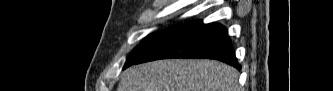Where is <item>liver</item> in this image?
Wrapping results in <instances>:
<instances>
[{
    "label": "liver",
    "mask_w": 333,
    "mask_h": 91,
    "mask_svg": "<svg viewBox=\"0 0 333 91\" xmlns=\"http://www.w3.org/2000/svg\"><path fill=\"white\" fill-rule=\"evenodd\" d=\"M238 76L216 60H160L127 69L117 91H239Z\"/></svg>",
    "instance_id": "liver-1"
}]
</instances>
